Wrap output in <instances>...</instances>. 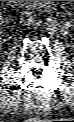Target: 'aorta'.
<instances>
[{"mask_svg": "<svg viewBox=\"0 0 74 122\" xmlns=\"http://www.w3.org/2000/svg\"><path fill=\"white\" fill-rule=\"evenodd\" d=\"M45 26L49 32H55L58 27V21L54 17H49L45 22Z\"/></svg>", "mask_w": 74, "mask_h": 122, "instance_id": "1", "label": "aorta"}]
</instances>
